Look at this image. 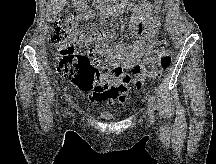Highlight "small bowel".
Instances as JSON below:
<instances>
[{"mask_svg":"<svg viewBox=\"0 0 216 164\" xmlns=\"http://www.w3.org/2000/svg\"><path fill=\"white\" fill-rule=\"evenodd\" d=\"M162 0H149L134 8L128 22L129 29L139 39L130 45L118 41L108 45L107 41L114 38L113 33L89 28L87 32L78 30L75 41L87 49L94 60L104 57L111 67L102 75L101 84L91 91L89 100L94 103H122L128 95L131 76L124 70L134 72L137 68L149 66L155 62V55L163 51L164 44L157 40L159 19L157 12ZM70 19L77 21L75 15Z\"/></svg>","mask_w":216,"mask_h":164,"instance_id":"small-bowel-1","label":"small bowel"}]
</instances>
